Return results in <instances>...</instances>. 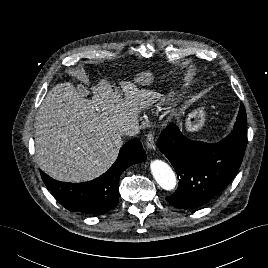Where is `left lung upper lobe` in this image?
<instances>
[{"label": "left lung upper lobe", "mask_w": 268, "mask_h": 268, "mask_svg": "<svg viewBox=\"0 0 268 268\" xmlns=\"http://www.w3.org/2000/svg\"><path fill=\"white\" fill-rule=\"evenodd\" d=\"M246 127H247V117H246V111L245 108H240L237 121L234 125V129L232 132H236L237 130H242V132H239V140L241 143L247 144V138H246Z\"/></svg>", "instance_id": "5c2ea615"}]
</instances>
